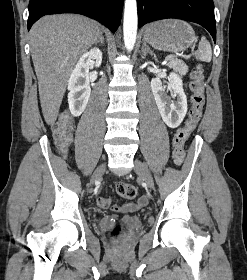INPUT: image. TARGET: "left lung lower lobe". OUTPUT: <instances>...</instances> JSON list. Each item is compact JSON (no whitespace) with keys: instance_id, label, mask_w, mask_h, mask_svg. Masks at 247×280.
Wrapping results in <instances>:
<instances>
[{"instance_id":"0a47b994","label":"left lung lower lobe","mask_w":247,"mask_h":280,"mask_svg":"<svg viewBox=\"0 0 247 280\" xmlns=\"http://www.w3.org/2000/svg\"><path fill=\"white\" fill-rule=\"evenodd\" d=\"M138 26L151 21L177 18L200 24L216 42L213 0H137Z\"/></svg>"}]
</instances>
